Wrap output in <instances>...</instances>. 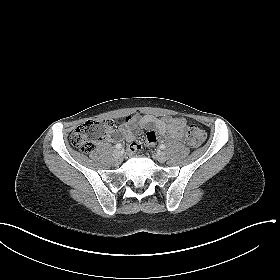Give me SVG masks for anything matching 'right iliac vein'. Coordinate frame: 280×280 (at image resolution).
I'll return each instance as SVG.
<instances>
[{
  "mask_svg": "<svg viewBox=\"0 0 280 280\" xmlns=\"http://www.w3.org/2000/svg\"><path fill=\"white\" fill-rule=\"evenodd\" d=\"M114 159L116 160V162H121L123 159V155L122 152L120 150H115L114 151Z\"/></svg>",
  "mask_w": 280,
  "mask_h": 280,
  "instance_id": "1",
  "label": "right iliac vein"
}]
</instances>
